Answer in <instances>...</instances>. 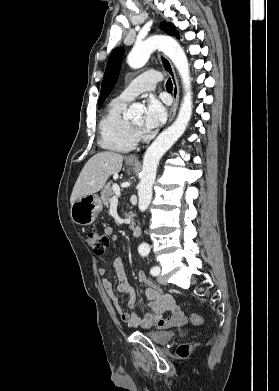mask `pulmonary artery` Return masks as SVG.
Masks as SVG:
<instances>
[{"mask_svg":"<svg viewBox=\"0 0 279 391\" xmlns=\"http://www.w3.org/2000/svg\"><path fill=\"white\" fill-rule=\"evenodd\" d=\"M160 80L161 75L156 71L142 73L125 87L119 97L126 101H131L140 93L152 91Z\"/></svg>","mask_w":279,"mask_h":391,"instance_id":"pulmonary-artery-1","label":"pulmonary artery"}]
</instances>
